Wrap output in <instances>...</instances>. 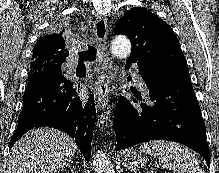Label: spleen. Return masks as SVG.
<instances>
[{
  "mask_svg": "<svg viewBox=\"0 0 219 173\" xmlns=\"http://www.w3.org/2000/svg\"><path fill=\"white\" fill-rule=\"evenodd\" d=\"M139 153L153 155L159 165L174 173H205L195 155L176 142L151 140L139 147Z\"/></svg>",
  "mask_w": 219,
  "mask_h": 173,
  "instance_id": "obj_1",
  "label": "spleen"
}]
</instances>
